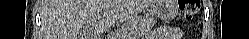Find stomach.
Segmentation results:
<instances>
[{
  "mask_svg": "<svg viewBox=\"0 0 249 39\" xmlns=\"http://www.w3.org/2000/svg\"><path fill=\"white\" fill-rule=\"evenodd\" d=\"M151 12L160 19H172L177 13L176 0H155L151 5Z\"/></svg>",
  "mask_w": 249,
  "mask_h": 39,
  "instance_id": "0dacf381",
  "label": "stomach"
}]
</instances>
